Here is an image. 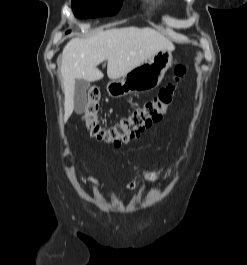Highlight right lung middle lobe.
I'll return each mask as SVG.
<instances>
[{"instance_id": "right-lung-middle-lobe-1", "label": "right lung middle lobe", "mask_w": 247, "mask_h": 265, "mask_svg": "<svg viewBox=\"0 0 247 265\" xmlns=\"http://www.w3.org/2000/svg\"><path fill=\"white\" fill-rule=\"evenodd\" d=\"M123 0H72L73 12L79 18L111 16L117 13Z\"/></svg>"}]
</instances>
